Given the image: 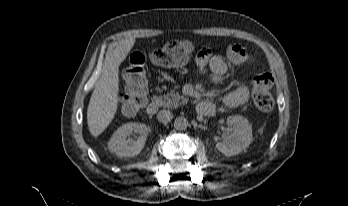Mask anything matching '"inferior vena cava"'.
<instances>
[{
    "label": "inferior vena cava",
    "mask_w": 348,
    "mask_h": 206,
    "mask_svg": "<svg viewBox=\"0 0 348 206\" xmlns=\"http://www.w3.org/2000/svg\"><path fill=\"white\" fill-rule=\"evenodd\" d=\"M172 118H173V114L169 110H160L157 114L158 121L164 124L170 122Z\"/></svg>",
    "instance_id": "1"
}]
</instances>
